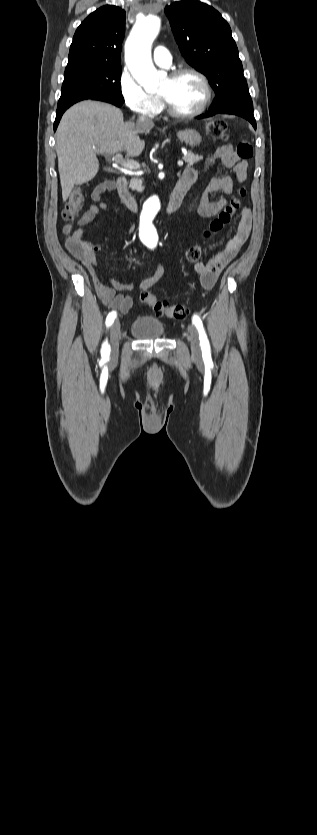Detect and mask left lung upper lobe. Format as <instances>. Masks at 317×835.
<instances>
[{
  "mask_svg": "<svg viewBox=\"0 0 317 835\" xmlns=\"http://www.w3.org/2000/svg\"><path fill=\"white\" fill-rule=\"evenodd\" d=\"M165 12L181 54L209 79L215 91L211 108L241 105L253 109L236 43L220 13L195 0L175 2Z\"/></svg>",
  "mask_w": 317,
  "mask_h": 835,
  "instance_id": "left-lung-upper-lobe-1",
  "label": "left lung upper lobe"
}]
</instances>
